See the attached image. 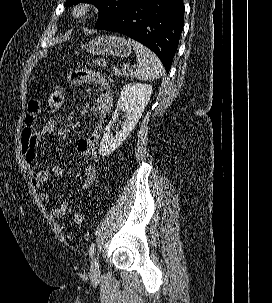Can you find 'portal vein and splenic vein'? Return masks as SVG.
Listing matches in <instances>:
<instances>
[{"mask_svg":"<svg viewBox=\"0 0 272 303\" xmlns=\"http://www.w3.org/2000/svg\"><path fill=\"white\" fill-rule=\"evenodd\" d=\"M123 67H124V69H129V65L128 64H125Z\"/></svg>","mask_w":272,"mask_h":303,"instance_id":"18ae733b","label":"portal vein and splenic vein"}]
</instances>
